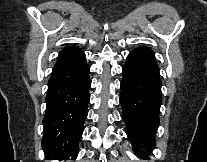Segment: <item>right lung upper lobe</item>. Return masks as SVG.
<instances>
[{
    "mask_svg": "<svg viewBox=\"0 0 207 162\" xmlns=\"http://www.w3.org/2000/svg\"><path fill=\"white\" fill-rule=\"evenodd\" d=\"M81 54H83V52L77 47H66L60 52L57 64L75 59Z\"/></svg>",
    "mask_w": 207,
    "mask_h": 162,
    "instance_id": "cb5924a9",
    "label": "right lung upper lobe"
}]
</instances>
